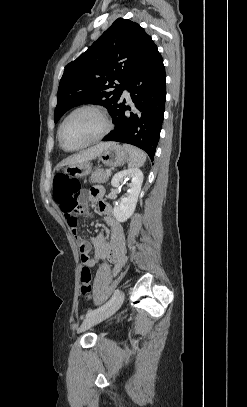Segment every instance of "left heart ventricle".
Returning a JSON list of instances; mask_svg holds the SVG:
<instances>
[{"label": "left heart ventricle", "instance_id": "left-heart-ventricle-1", "mask_svg": "<svg viewBox=\"0 0 247 407\" xmlns=\"http://www.w3.org/2000/svg\"><path fill=\"white\" fill-rule=\"evenodd\" d=\"M103 128L104 124L97 114L81 111L66 121L62 128L61 140L66 148H76L98 136Z\"/></svg>", "mask_w": 247, "mask_h": 407}]
</instances>
